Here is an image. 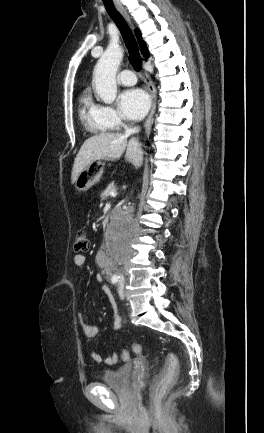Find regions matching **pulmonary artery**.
Returning a JSON list of instances; mask_svg holds the SVG:
<instances>
[{
    "label": "pulmonary artery",
    "instance_id": "1",
    "mask_svg": "<svg viewBox=\"0 0 264 433\" xmlns=\"http://www.w3.org/2000/svg\"><path fill=\"white\" fill-rule=\"evenodd\" d=\"M117 81L121 85L131 86L136 83V77L132 70L124 69L119 73Z\"/></svg>",
    "mask_w": 264,
    "mask_h": 433
}]
</instances>
